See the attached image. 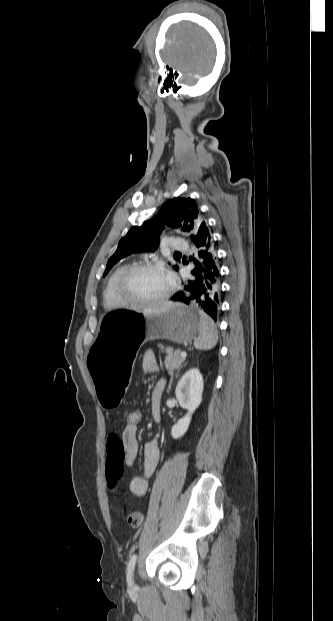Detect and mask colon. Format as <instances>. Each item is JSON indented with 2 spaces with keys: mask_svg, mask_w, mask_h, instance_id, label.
<instances>
[{
  "mask_svg": "<svg viewBox=\"0 0 333 621\" xmlns=\"http://www.w3.org/2000/svg\"><path fill=\"white\" fill-rule=\"evenodd\" d=\"M141 417V411L138 409L130 408L126 412L127 424L138 425V423L141 421ZM127 520L132 527H139L143 522V516L139 512L131 511L127 514Z\"/></svg>",
  "mask_w": 333,
  "mask_h": 621,
  "instance_id": "obj_1",
  "label": "colon"
}]
</instances>
